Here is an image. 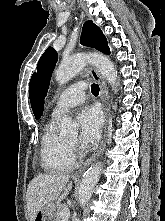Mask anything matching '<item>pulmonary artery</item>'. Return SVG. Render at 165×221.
<instances>
[{"label": "pulmonary artery", "instance_id": "e3ab8cb5", "mask_svg": "<svg viewBox=\"0 0 165 221\" xmlns=\"http://www.w3.org/2000/svg\"><path fill=\"white\" fill-rule=\"evenodd\" d=\"M84 82H77L67 87L57 98L52 110V116L57 117L66 110L79 105L85 100Z\"/></svg>", "mask_w": 165, "mask_h": 221}]
</instances>
